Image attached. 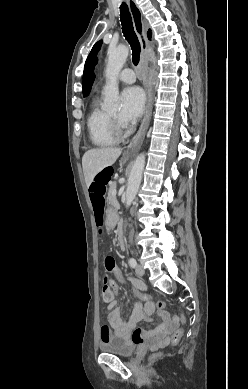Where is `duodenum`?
Returning <instances> with one entry per match:
<instances>
[{
  "label": "duodenum",
  "instance_id": "1",
  "mask_svg": "<svg viewBox=\"0 0 248 389\" xmlns=\"http://www.w3.org/2000/svg\"><path fill=\"white\" fill-rule=\"evenodd\" d=\"M118 243H119V247L121 249H124V247H125V238H124V233H123V230H122L121 226H119V229H118Z\"/></svg>",
  "mask_w": 248,
  "mask_h": 389
}]
</instances>
